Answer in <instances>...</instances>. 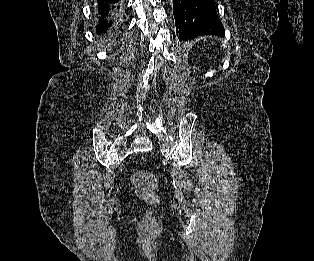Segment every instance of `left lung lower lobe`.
Instances as JSON below:
<instances>
[{"instance_id":"0a47b994","label":"left lung lower lobe","mask_w":314,"mask_h":261,"mask_svg":"<svg viewBox=\"0 0 314 261\" xmlns=\"http://www.w3.org/2000/svg\"><path fill=\"white\" fill-rule=\"evenodd\" d=\"M172 5L180 41L200 35L224 34L214 0H172Z\"/></svg>"}]
</instances>
